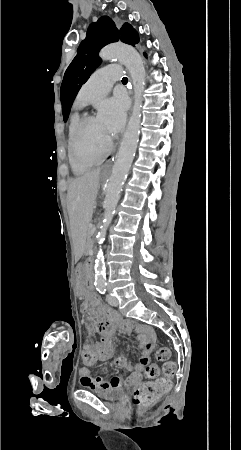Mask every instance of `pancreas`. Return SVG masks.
I'll return each instance as SVG.
<instances>
[{"label":"pancreas","instance_id":"1","mask_svg":"<svg viewBox=\"0 0 241 450\" xmlns=\"http://www.w3.org/2000/svg\"><path fill=\"white\" fill-rule=\"evenodd\" d=\"M92 227H93V226H92ZM92 227H89V228H88V231H89V232H87V234H86V235H87V237H88V238H87V241H88V242H91V241H92V238H91V237H92V235L90 234V231H92V230H91V229H92ZM94 232H95V231H94ZM86 248H87V250H89V251H90V250H92V248H93V247H92V245H90V244H89V245H87V247H86Z\"/></svg>","mask_w":241,"mask_h":450}]
</instances>
